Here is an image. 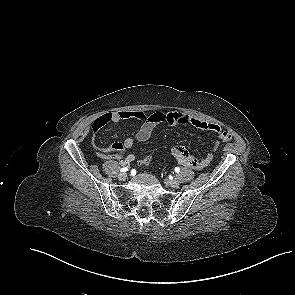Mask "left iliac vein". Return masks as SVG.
<instances>
[{
	"mask_svg": "<svg viewBox=\"0 0 295 295\" xmlns=\"http://www.w3.org/2000/svg\"><path fill=\"white\" fill-rule=\"evenodd\" d=\"M168 183L171 187H174V188H177L180 185L179 181H177V180H169Z\"/></svg>",
	"mask_w": 295,
	"mask_h": 295,
	"instance_id": "left-iliac-vein-1",
	"label": "left iliac vein"
}]
</instances>
